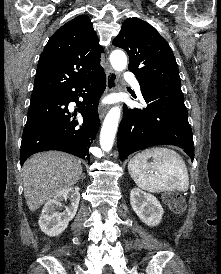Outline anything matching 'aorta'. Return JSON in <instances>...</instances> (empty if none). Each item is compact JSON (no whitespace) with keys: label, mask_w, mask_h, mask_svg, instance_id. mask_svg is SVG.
I'll list each match as a JSON object with an SVG mask.
<instances>
[{"label":"aorta","mask_w":221,"mask_h":274,"mask_svg":"<svg viewBox=\"0 0 221 274\" xmlns=\"http://www.w3.org/2000/svg\"><path fill=\"white\" fill-rule=\"evenodd\" d=\"M110 62L114 70L121 72L126 69L127 57L122 50H114L110 55ZM121 109L119 106H114L107 113L100 132V146L109 152L112 149L115 135L117 132Z\"/></svg>","instance_id":"obj_1"}]
</instances>
